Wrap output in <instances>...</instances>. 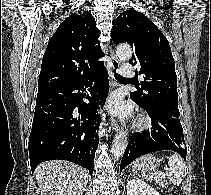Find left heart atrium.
Instances as JSON below:
<instances>
[{"instance_id": "left-heart-atrium-1", "label": "left heart atrium", "mask_w": 211, "mask_h": 195, "mask_svg": "<svg viewBox=\"0 0 211 195\" xmlns=\"http://www.w3.org/2000/svg\"><path fill=\"white\" fill-rule=\"evenodd\" d=\"M108 107L113 113L121 117L128 116L131 111V107L126 105L119 95H113L110 98Z\"/></svg>"}]
</instances>
